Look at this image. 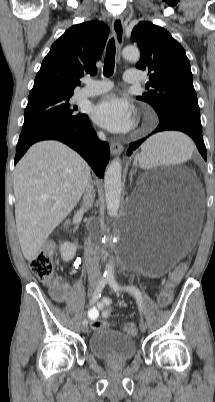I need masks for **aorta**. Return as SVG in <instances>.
<instances>
[{
  "mask_svg": "<svg viewBox=\"0 0 215 402\" xmlns=\"http://www.w3.org/2000/svg\"><path fill=\"white\" fill-rule=\"evenodd\" d=\"M122 56L125 60L137 62L140 59V51L137 47L127 46L123 49ZM121 172L122 164L119 158L114 159L105 171V200L110 216L116 215L120 206L122 191ZM104 276L106 278L114 277V269L111 262L107 264Z\"/></svg>",
  "mask_w": 215,
  "mask_h": 402,
  "instance_id": "1",
  "label": "aorta"
}]
</instances>
